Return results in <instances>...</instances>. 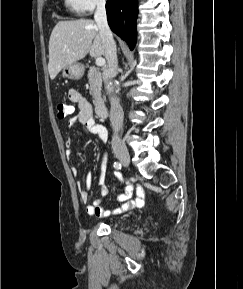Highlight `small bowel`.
Instances as JSON below:
<instances>
[{
    "mask_svg": "<svg viewBox=\"0 0 243 289\" xmlns=\"http://www.w3.org/2000/svg\"><path fill=\"white\" fill-rule=\"evenodd\" d=\"M68 98L71 102L78 105V112L69 120V127L77 126L81 131L85 133L96 134L102 142H106L108 139V131L105 126L98 124L92 114V108L85 97L76 89H70L68 91ZM107 155L104 153L100 163V197L95 199L91 204L86 206V211L89 215H95L98 217H105L110 215V211L103 208V200L108 195L109 190L104 183L106 173ZM74 175L77 174V169L72 168ZM92 183V175L88 173L85 178V188H82L81 184H78L80 189V199L83 203H86L89 199V191ZM132 195V185L126 183V191L123 194L118 195L117 199L124 204L113 210L112 213L118 214L126 212L135 208H141L144 205V193L142 189L137 190V197L135 200H130Z\"/></svg>",
    "mask_w": 243,
    "mask_h": 289,
    "instance_id": "small-bowel-1",
    "label": "small bowel"
}]
</instances>
